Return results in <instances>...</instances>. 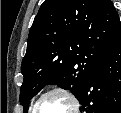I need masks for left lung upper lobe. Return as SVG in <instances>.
Returning <instances> with one entry per match:
<instances>
[{"label":"left lung upper lobe","instance_id":"5c2ea615","mask_svg":"<svg viewBox=\"0 0 121 113\" xmlns=\"http://www.w3.org/2000/svg\"><path fill=\"white\" fill-rule=\"evenodd\" d=\"M120 25L110 0H45L31 26L21 65L19 100L24 112L47 84L79 98Z\"/></svg>","mask_w":121,"mask_h":113}]
</instances>
